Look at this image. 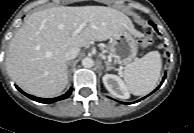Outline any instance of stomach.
Returning a JSON list of instances; mask_svg holds the SVG:
<instances>
[{"instance_id":"stomach-1","label":"stomach","mask_w":194,"mask_h":133,"mask_svg":"<svg viewBox=\"0 0 194 133\" xmlns=\"http://www.w3.org/2000/svg\"><path fill=\"white\" fill-rule=\"evenodd\" d=\"M136 34L131 29H123L111 38L107 47L109 58L116 64L128 65L137 55Z\"/></svg>"}]
</instances>
